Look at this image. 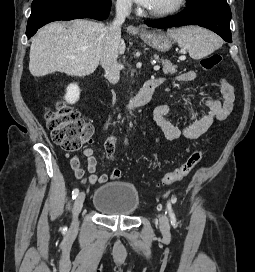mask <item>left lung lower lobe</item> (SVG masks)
<instances>
[{"mask_svg": "<svg viewBox=\"0 0 255 272\" xmlns=\"http://www.w3.org/2000/svg\"><path fill=\"white\" fill-rule=\"evenodd\" d=\"M231 10L226 0H188L186 9L176 15L144 23L155 28L199 25L232 42L230 31Z\"/></svg>", "mask_w": 255, "mask_h": 272, "instance_id": "left-lung-lower-lobe-1", "label": "left lung lower lobe"}]
</instances>
